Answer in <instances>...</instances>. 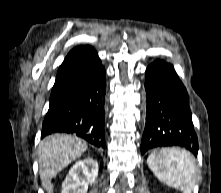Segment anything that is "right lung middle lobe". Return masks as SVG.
Wrapping results in <instances>:
<instances>
[{
    "label": "right lung middle lobe",
    "instance_id": "1",
    "mask_svg": "<svg viewBox=\"0 0 221 193\" xmlns=\"http://www.w3.org/2000/svg\"><path fill=\"white\" fill-rule=\"evenodd\" d=\"M51 109H52V107L50 106V107H49V111H50Z\"/></svg>",
    "mask_w": 221,
    "mask_h": 193
}]
</instances>
